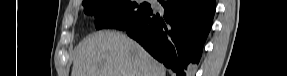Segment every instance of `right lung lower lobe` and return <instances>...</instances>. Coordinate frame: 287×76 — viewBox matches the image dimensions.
Returning <instances> with one entry per match:
<instances>
[{"label": "right lung lower lobe", "mask_w": 287, "mask_h": 76, "mask_svg": "<svg viewBox=\"0 0 287 76\" xmlns=\"http://www.w3.org/2000/svg\"><path fill=\"white\" fill-rule=\"evenodd\" d=\"M158 1L164 14L151 9L125 31L177 76H190L212 26L215 0Z\"/></svg>", "instance_id": "98d812e1"}]
</instances>
